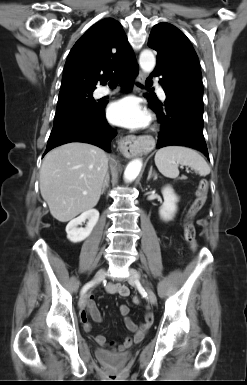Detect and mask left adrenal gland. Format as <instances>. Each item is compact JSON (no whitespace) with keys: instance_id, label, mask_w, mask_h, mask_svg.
<instances>
[{"instance_id":"obj_1","label":"left adrenal gland","mask_w":247,"mask_h":385,"mask_svg":"<svg viewBox=\"0 0 247 385\" xmlns=\"http://www.w3.org/2000/svg\"><path fill=\"white\" fill-rule=\"evenodd\" d=\"M154 178V180L157 179V175L156 173L153 171V167L151 166L150 167V170H149V174H148V177H147V180H149L150 178Z\"/></svg>"}]
</instances>
